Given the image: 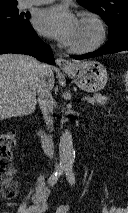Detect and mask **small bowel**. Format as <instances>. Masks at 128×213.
Wrapping results in <instances>:
<instances>
[{
    "instance_id": "1",
    "label": "small bowel",
    "mask_w": 128,
    "mask_h": 213,
    "mask_svg": "<svg viewBox=\"0 0 128 213\" xmlns=\"http://www.w3.org/2000/svg\"><path fill=\"white\" fill-rule=\"evenodd\" d=\"M49 189L46 186L45 178L43 175L38 177L36 193L33 196L32 204L27 209L26 213H45L48 208ZM10 206H14V203H9Z\"/></svg>"
}]
</instances>
